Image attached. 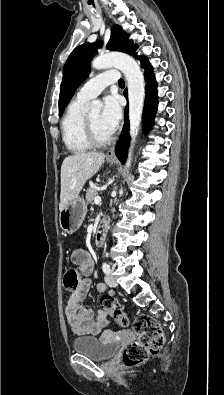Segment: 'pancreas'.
<instances>
[{"mask_svg": "<svg viewBox=\"0 0 224 395\" xmlns=\"http://www.w3.org/2000/svg\"><path fill=\"white\" fill-rule=\"evenodd\" d=\"M98 195V189L96 187H90L86 191V201L88 204H92L94 201V198L97 197Z\"/></svg>", "mask_w": 224, "mask_h": 395, "instance_id": "obj_1", "label": "pancreas"}]
</instances>
